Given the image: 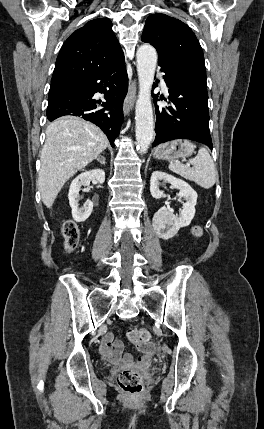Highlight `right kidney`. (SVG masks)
<instances>
[{"label": "right kidney", "mask_w": 264, "mask_h": 429, "mask_svg": "<svg viewBox=\"0 0 264 429\" xmlns=\"http://www.w3.org/2000/svg\"><path fill=\"white\" fill-rule=\"evenodd\" d=\"M92 180H97L100 184L105 181V172L102 169L86 171L77 176L70 185L68 199L72 209V217L76 222H84L89 218L93 210V202L87 200L86 205L79 208V192L82 186H87Z\"/></svg>", "instance_id": "right-kidney-1"}]
</instances>
